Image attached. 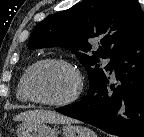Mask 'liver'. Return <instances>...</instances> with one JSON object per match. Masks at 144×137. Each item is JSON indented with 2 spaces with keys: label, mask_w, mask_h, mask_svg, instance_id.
Wrapping results in <instances>:
<instances>
[{
  "label": "liver",
  "mask_w": 144,
  "mask_h": 137,
  "mask_svg": "<svg viewBox=\"0 0 144 137\" xmlns=\"http://www.w3.org/2000/svg\"><path fill=\"white\" fill-rule=\"evenodd\" d=\"M14 121H22L24 123H58L67 124L74 123V120L50 110H29L16 115Z\"/></svg>",
  "instance_id": "obj_1"
}]
</instances>
